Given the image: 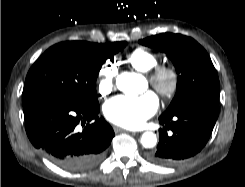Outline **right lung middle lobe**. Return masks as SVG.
Returning a JSON list of instances; mask_svg holds the SVG:
<instances>
[{
	"label": "right lung middle lobe",
	"mask_w": 245,
	"mask_h": 187,
	"mask_svg": "<svg viewBox=\"0 0 245 187\" xmlns=\"http://www.w3.org/2000/svg\"><path fill=\"white\" fill-rule=\"evenodd\" d=\"M126 42L68 41L50 47L29 70L22 94L26 106L43 99H65L98 107L96 79L107 59Z\"/></svg>",
	"instance_id": "right-lung-middle-lobe-1"
}]
</instances>
